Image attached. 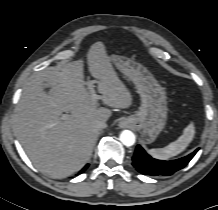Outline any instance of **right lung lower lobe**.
Wrapping results in <instances>:
<instances>
[{
  "label": "right lung lower lobe",
  "instance_id": "98d812e1",
  "mask_svg": "<svg viewBox=\"0 0 218 210\" xmlns=\"http://www.w3.org/2000/svg\"><path fill=\"white\" fill-rule=\"evenodd\" d=\"M89 164H87L81 171L80 173L84 172L88 168Z\"/></svg>",
  "mask_w": 218,
  "mask_h": 210
}]
</instances>
